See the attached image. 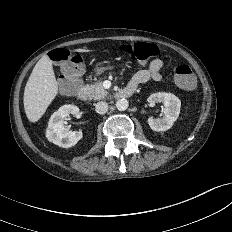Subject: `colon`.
Returning a JSON list of instances; mask_svg holds the SVG:
<instances>
[{
  "mask_svg": "<svg viewBox=\"0 0 232 232\" xmlns=\"http://www.w3.org/2000/svg\"><path fill=\"white\" fill-rule=\"evenodd\" d=\"M121 50L134 57L139 62H146L161 54V49L152 43L137 42L121 45ZM49 57L61 66L60 89L65 93L75 91L79 85V76L82 71V60L73 56L67 49L58 48L49 53ZM176 85L184 90H192L196 86V77L187 65H179L174 72Z\"/></svg>",
  "mask_w": 232,
  "mask_h": 232,
  "instance_id": "5ec220e1",
  "label": "colon"
}]
</instances>
